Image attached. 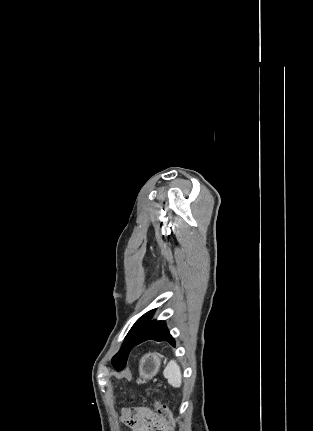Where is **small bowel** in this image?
Wrapping results in <instances>:
<instances>
[{
  "label": "small bowel",
  "mask_w": 313,
  "mask_h": 431,
  "mask_svg": "<svg viewBox=\"0 0 313 431\" xmlns=\"http://www.w3.org/2000/svg\"><path fill=\"white\" fill-rule=\"evenodd\" d=\"M122 419L133 431H155L159 420L158 415L146 407L125 410Z\"/></svg>",
  "instance_id": "1"
}]
</instances>
